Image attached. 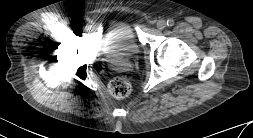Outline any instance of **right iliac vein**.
Here are the masks:
<instances>
[{"mask_svg": "<svg viewBox=\"0 0 253 138\" xmlns=\"http://www.w3.org/2000/svg\"><path fill=\"white\" fill-rule=\"evenodd\" d=\"M69 27H70L71 29H76V28H77V25H76L74 22H71V23L69 24Z\"/></svg>", "mask_w": 253, "mask_h": 138, "instance_id": "obj_1", "label": "right iliac vein"}]
</instances>
